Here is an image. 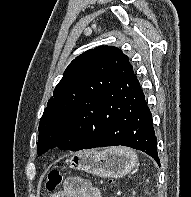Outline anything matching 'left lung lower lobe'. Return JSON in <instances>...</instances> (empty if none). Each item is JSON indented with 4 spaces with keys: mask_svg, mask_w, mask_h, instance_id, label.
<instances>
[{
    "mask_svg": "<svg viewBox=\"0 0 191 197\" xmlns=\"http://www.w3.org/2000/svg\"><path fill=\"white\" fill-rule=\"evenodd\" d=\"M64 131L67 150L123 145L160 164L152 115L136 75L100 94L92 108L77 114Z\"/></svg>",
    "mask_w": 191,
    "mask_h": 197,
    "instance_id": "1",
    "label": "left lung lower lobe"
}]
</instances>
